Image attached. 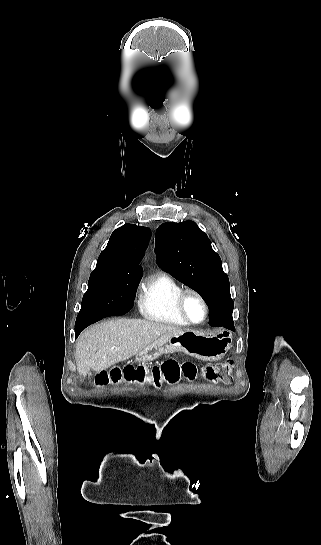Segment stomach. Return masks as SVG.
Listing matches in <instances>:
<instances>
[{"mask_svg": "<svg viewBox=\"0 0 321 545\" xmlns=\"http://www.w3.org/2000/svg\"><path fill=\"white\" fill-rule=\"evenodd\" d=\"M233 347V333L228 329H220L217 333H198V331H179L162 335L157 341L139 351L136 355L138 363H150L161 355L169 353H185L202 361H220Z\"/></svg>", "mask_w": 321, "mask_h": 545, "instance_id": "1", "label": "stomach"}]
</instances>
